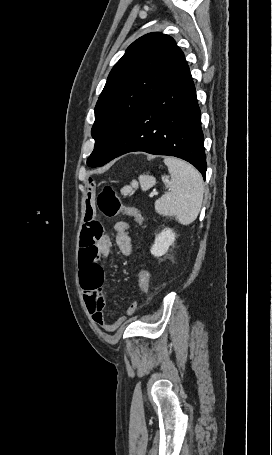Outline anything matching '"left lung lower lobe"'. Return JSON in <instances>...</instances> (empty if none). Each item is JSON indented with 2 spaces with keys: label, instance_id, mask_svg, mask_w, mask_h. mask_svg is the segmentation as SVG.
Segmentation results:
<instances>
[{
  "label": "left lung lower lobe",
  "instance_id": "0a47b994",
  "mask_svg": "<svg viewBox=\"0 0 272 455\" xmlns=\"http://www.w3.org/2000/svg\"><path fill=\"white\" fill-rule=\"evenodd\" d=\"M133 151L181 158L205 179L201 112L188 66L137 114L99 166Z\"/></svg>",
  "mask_w": 272,
  "mask_h": 455
}]
</instances>
